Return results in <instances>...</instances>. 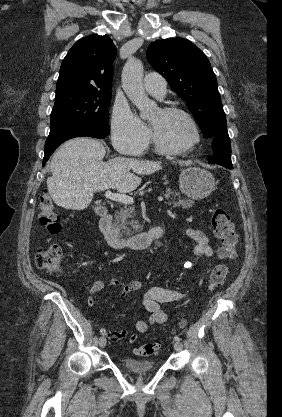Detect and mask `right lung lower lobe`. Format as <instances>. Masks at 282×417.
<instances>
[{
	"label": "right lung lower lobe",
	"instance_id": "right-lung-lower-lobe-1",
	"mask_svg": "<svg viewBox=\"0 0 282 417\" xmlns=\"http://www.w3.org/2000/svg\"><path fill=\"white\" fill-rule=\"evenodd\" d=\"M109 134L101 132L95 128H92L88 125L76 123L70 124L66 126H62L60 128H56L50 130V134L46 140L45 147H44V163L49 159L51 154L54 150L64 141L74 138V137H81V136H88L103 139L107 137Z\"/></svg>",
	"mask_w": 282,
	"mask_h": 417
}]
</instances>
